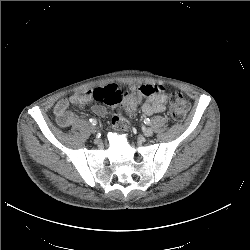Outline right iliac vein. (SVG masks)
<instances>
[{"mask_svg":"<svg viewBox=\"0 0 250 250\" xmlns=\"http://www.w3.org/2000/svg\"><path fill=\"white\" fill-rule=\"evenodd\" d=\"M89 130H90V132L93 133V134L97 132L96 127H94V126H92V125L89 127Z\"/></svg>","mask_w":250,"mask_h":250,"instance_id":"obj_1","label":"right iliac vein"}]
</instances>
